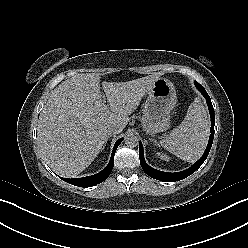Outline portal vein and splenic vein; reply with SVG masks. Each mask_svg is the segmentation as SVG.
<instances>
[{"mask_svg":"<svg viewBox=\"0 0 248 248\" xmlns=\"http://www.w3.org/2000/svg\"><path fill=\"white\" fill-rule=\"evenodd\" d=\"M104 109H108V107L105 105V106H104Z\"/></svg>","mask_w":248,"mask_h":248,"instance_id":"portal-vein-and-splenic-vein-1","label":"portal vein and splenic vein"}]
</instances>
